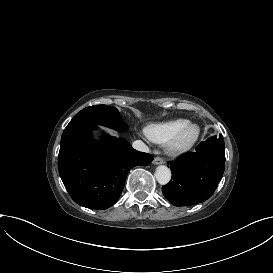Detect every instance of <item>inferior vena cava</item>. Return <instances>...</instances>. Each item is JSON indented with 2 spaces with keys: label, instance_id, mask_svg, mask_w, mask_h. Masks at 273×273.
Listing matches in <instances>:
<instances>
[{
  "label": "inferior vena cava",
  "instance_id": "602c4592",
  "mask_svg": "<svg viewBox=\"0 0 273 273\" xmlns=\"http://www.w3.org/2000/svg\"><path fill=\"white\" fill-rule=\"evenodd\" d=\"M132 147L141 152H149V148L141 140L134 141Z\"/></svg>",
  "mask_w": 273,
  "mask_h": 273
}]
</instances>
